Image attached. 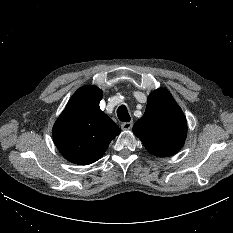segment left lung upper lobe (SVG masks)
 Wrapping results in <instances>:
<instances>
[{"label":"left lung upper lobe","instance_id":"left-lung-upper-lobe-1","mask_svg":"<svg viewBox=\"0 0 233 233\" xmlns=\"http://www.w3.org/2000/svg\"><path fill=\"white\" fill-rule=\"evenodd\" d=\"M133 132L151 154L168 157L183 146L187 121L170 92L160 88L148 97L146 111Z\"/></svg>","mask_w":233,"mask_h":233}]
</instances>
